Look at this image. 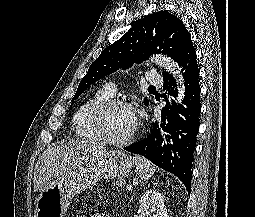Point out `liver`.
I'll use <instances>...</instances> for the list:
<instances>
[{"label": "liver", "mask_w": 255, "mask_h": 217, "mask_svg": "<svg viewBox=\"0 0 255 217\" xmlns=\"http://www.w3.org/2000/svg\"><path fill=\"white\" fill-rule=\"evenodd\" d=\"M103 144L92 141H70L48 147L39 157L34 171V189L42 192L59 184L68 176L82 170L87 164L102 158Z\"/></svg>", "instance_id": "6515ba94"}]
</instances>
